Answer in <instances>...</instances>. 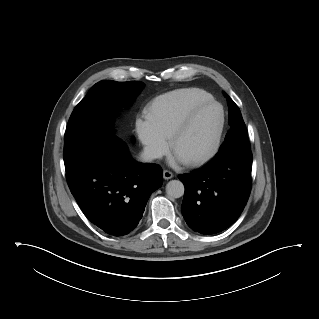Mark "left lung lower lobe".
I'll use <instances>...</instances> for the list:
<instances>
[{
  "label": "left lung lower lobe",
  "instance_id": "0a47b994",
  "mask_svg": "<svg viewBox=\"0 0 319 319\" xmlns=\"http://www.w3.org/2000/svg\"><path fill=\"white\" fill-rule=\"evenodd\" d=\"M251 169V150L236 149L216 154L201 169L179 175L185 186L181 211L186 223L204 235L227 229L248 201Z\"/></svg>",
  "mask_w": 319,
  "mask_h": 319
}]
</instances>
